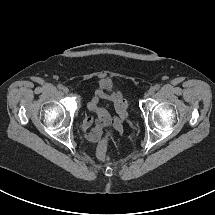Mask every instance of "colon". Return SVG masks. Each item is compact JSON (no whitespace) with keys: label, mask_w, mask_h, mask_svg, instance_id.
Instances as JSON below:
<instances>
[{"label":"colon","mask_w":215,"mask_h":215,"mask_svg":"<svg viewBox=\"0 0 215 215\" xmlns=\"http://www.w3.org/2000/svg\"><path fill=\"white\" fill-rule=\"evenodd\" d=\"M115 131L116 130L113 126H108L105 129L103 133V138L97 147V156L103 162H107L109 160V155L107 152L108 142L115 134Z\"/></svg>","instance_id":"colon-1"}]
</instances>
